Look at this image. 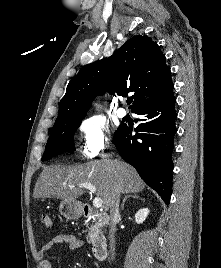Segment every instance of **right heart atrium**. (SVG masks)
Segmentation results:
<instances>
[{
  "mask_svg": "<svg viewBox=\"0 0 221 268\" xmlns=\"http://www.w3.org/2000/svg\"><path fill=\"white\" fill-rule=\"evenodd\" d=\"M82 135L81 153L84 157L95 158L107 148L111 130L109 126L98 117H89L80 124Z\"/></svg>",
  "mask_w": 221,
  "mask_h": 268,
  "instance_id": "1",
  "label": "right heart atrium"
}]
</instances>
